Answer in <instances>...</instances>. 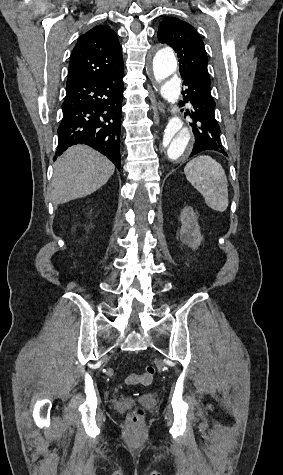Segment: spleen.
Returning a JSON list of instances; mask_svg holds the SVG:
<instances>
[{
    "label": "spleen",
    "instance_id": "obj_1",
    "mask_svg": "<svg viewBox=\"0 0 283 475\" xmlns=\"http://www.w3.org/2000/svg\"><path fill=\"white\" fill-rule=\"evenodd\" d=\"M184 174L188 182L202 194L209 208L217 212L227 210L228 180L221 164L210 156H198L186 164Z\"/></svg>",
    "mask_w": 283,
    "mask_h": 475
}]
</instances>
